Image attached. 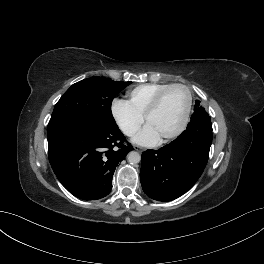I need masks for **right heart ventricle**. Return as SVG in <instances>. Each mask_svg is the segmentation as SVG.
Listing matches in <instances>:
<instances>
[{
	"mask_svg": "<svg viewBox=\"0 0 264 264\" xmlns=\"http://www.w3.org/2000/svg\"><path fill=\"white\" fill-rule=\"evenodd\" d=\"M168 85L167 83L138 85L127 92L128 103L137 113L143 116L156 94Z\"/></svg>",
	"mask_w": 264,
	"mask_h": 264,
	"instance_id": "e07e8e85",
	"label": "right heart ventricle"
}]
</instances>
